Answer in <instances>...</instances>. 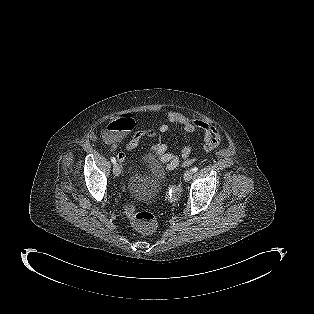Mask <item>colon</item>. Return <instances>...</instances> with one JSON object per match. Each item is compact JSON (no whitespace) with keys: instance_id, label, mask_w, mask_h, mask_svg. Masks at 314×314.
Masks as SVG:
<instances>
[{"instance_id":"5ec220e1","label":"colon","mask_w":314,"mask_h":314,"mask_svg":"<svg viewBox=\"0 0 314 314\" xmlns=\"http://www.w3.org/2000/svg\"><path fill=\"white\" fill-rule=\"evenodd\" d=\"M134 127L133 118L124 114L111 121L104 132V139L109 143L119 141L128 131ZM125 213L133 227L144 235H150L156 227V219L149 211H136L131 203L125 206Z\"/></svg>"}]
</instances>
